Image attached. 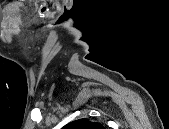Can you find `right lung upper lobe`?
<instances>
[{"label": "right lung upper lobe", "mask_w": 169, "mask_h": 129, "mask_svg": "<svg viewBox=\"0 0 169 129\" xmlns=\"http://www.w3.org/2000/svg\"><path fill=\"white\" fill-rule=\"evenodd\" d=\"M65 129H103L100 123L91 122L87 119H80L65 125Z\"/></svg>", "instance_id": "1"}]
</instances>
